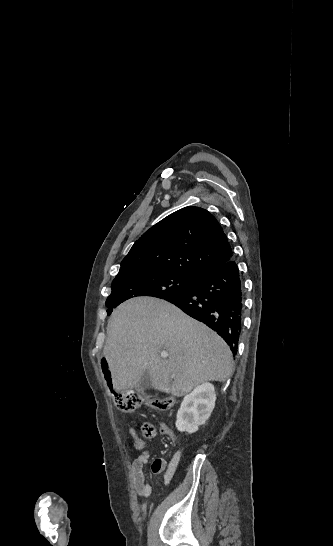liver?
Listing matches in <instances>:
<instances>
[{"label": "liver", "mask_w": 333, "mask_h": 546, "mask_svg": "<svg viewBox=\"0 0 333 546\" xmlns=\"http://www.w3.org/2000/svg\"><path fill=\"white\" fill-rule=\"evenodd\" d=\"M107 333L103 355L116 392L134 389L148 372L152 387L179 397L206 381L224 382L233 371L225 341L164 300L125 301L112 313Z\"/></svg>", "instance_id": "6515ba94"}]
</instances>
